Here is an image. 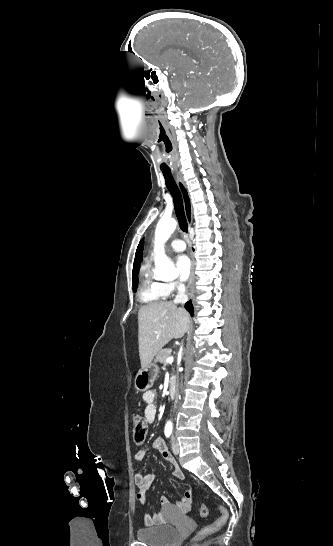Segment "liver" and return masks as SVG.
<instances>
[{
	"mask_svg": "<svg viewBox=\"0 0 333 546\" xmlns=\"http://www.w3.org/2000/svg\"><path fill=\"white\" fill-rule=\"evenodd\" d=\"M189 321V314L171 301L142 306L138 311L141 368H146L170 340L182 338Z\"/></svg>",
	"mask_w": 333,
	"mask_h": 546,
	"instance_id": "6515ba94",
	"label": "liver"
}]
</instances>
